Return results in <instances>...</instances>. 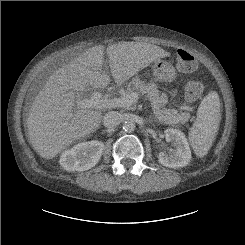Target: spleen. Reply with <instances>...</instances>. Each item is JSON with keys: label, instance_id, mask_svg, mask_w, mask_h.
<instances>
[{"label": "spleen", "instance_id": "1", "mask_svg": "<svg viewBox=\"0 0 245 245\" xmlns=\"http://www.w3.org/2000/svg\"><path fill=\"white\" fill-rule=\"evenodd\" d=\"M220 100L217 92L211 91L202 100L197 117L189 132V141L199 157L207 154L217 135L221 120Z\"/></svg>", "mask_w": 245, "mask_h": 245}]
</instances>
